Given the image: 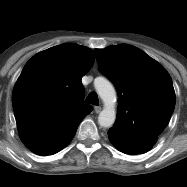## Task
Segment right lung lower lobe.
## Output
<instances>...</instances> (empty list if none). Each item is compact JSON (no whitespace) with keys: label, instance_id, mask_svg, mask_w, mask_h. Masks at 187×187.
<instances>
[{"label":"right lung lower lobe","instance_id":"1","mask_svg":"<svg viewBox=\"0 0 187 187\" xmlns=\"http://www.w3.org/2000/svg\"><path fill=\"white\" fill-rule=\"evenodd\" d=\"M75 132H73L70 136H68L67 138H65V140L59 144V146L56 148V150H53V151H50V152L46 151L42 156H46V155H49V154L52 155V154H55L56 152L60 151L61 149H63L72 140V138L75 135Z\"/></svg>","mask_w":187,"mask_h":187}]
</instances>
